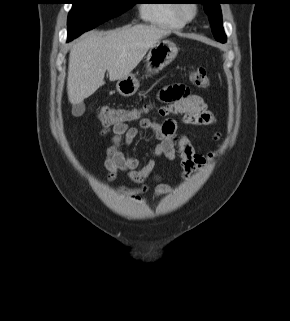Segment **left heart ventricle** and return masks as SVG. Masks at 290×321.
<instances>
[{"label":"left heart ventricle","instance_id":"obj_1","mask_svg":"<svg viewBox=\"0 0 290 321\" xmlns=\"http://www.w3.org/2000/svg\"><path fill=\"white\" fill-rule=\"evenodd\" d=\"M186 12L189 14V13H191V9L190 8H187L186 9Z\"/></svg>","mask_w":290,"mask_h":321}]
</instances>
